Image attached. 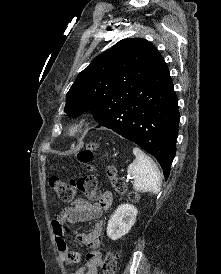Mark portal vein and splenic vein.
Returning a JSON list of instances; mask_svg holds the SVG:
<instances>
[{"mask_svg":"<svg viewBox=\"0 0 221 274\" xmlns=\"http://www.w3.org/2000/svg\"><path fill=\"white\" fill-rule=\"evenodd\" d=\"M130 179H132L130 176H127V181H129Z\"/></svg>","mask_w":221,"mask_h":274,"instance_id":"1","label":"portal vein and splenic vein"}]
</instances>
